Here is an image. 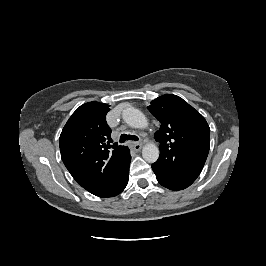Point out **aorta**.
I'll return each instance as SVG.
<instances>
[{"mask_svg":"<svg viewBox=\"0 0 266 266\" xmlns=\"http://www.w3.org/2000/svg\"><path fill=\"white\" fill-rule=\"evenodd\" d=\"M124 121L133 128H145L148 121L145 115L137 108H126L122 113ZM145 161L154 163L159 158V148L154 143H146L142 149Z\"/></svg>","mask_w":266,"mask_h":266,"instance_id":"1","label":"aorta"}]
</instances>
